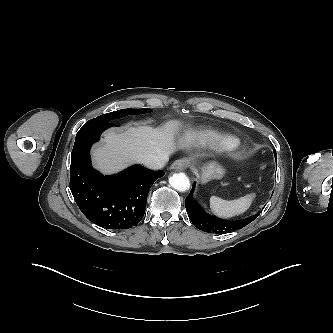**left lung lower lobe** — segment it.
Listing matches in <instances>:
<instances>
[{
    "instance_id": "left-lung-lower-lobe-1",
    "label": "left lung lower lobe",
    "mask_w": 333,
    "mask_h": 333,
    "mask_svg": "<svg viewBox=\"0 0 333 333\" xmlns=\"http://www.w3.org/2000/svg\"><path fill=\"white\" fill-rule=\"evenodd\" d=\"M194 188H195V184H193V188L185 200V207H186L187 214H188L191 222L199 230L209 232V233L225 234V233L245 227L250 222H252L254 219H256L258 217V215L260 214V212H259L249 218L239 220V221H223V220L217 219L216 217L211 216L208 213L204 212L193 201L192 194H193Z\"/></svg>"
}]
</instances>
